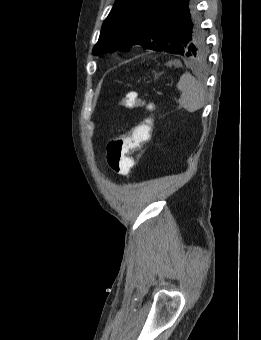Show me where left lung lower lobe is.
I'll use <instances>...</instances> for the list:
<instances>
[{"label":"left lung lower lobe","mask_w":261,"mask_h":340,"mask_svg":"<svg viewBox=\"0 0 261 340\" xmlns=\"http://www.w3.org/2000/svg\"><path fill=\"white\" fill-rule=\"evenodd\" d=\"M196 5V0H165L161 10L167 13V17L171 16L172 20H178L191 12Z\"/></svg>","instance_id":"obj_1"}]
</instances>
